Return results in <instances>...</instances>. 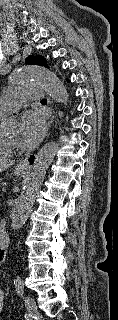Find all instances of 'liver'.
Listing matches in <instances>:
<instances>
[{
  "mask_svg": "<svg viewBox=\"0 0 118 320\" xmlns=\"http://www.w3.org/2000/svg\"><path fill=\"white\" fill-rule=\"evenodd\" d=\"M15 163V160L10 159H1L0 158V173L4 170H6L8 167L13 165Z\"/></svg>",
  "mask_w": 118,
  "mask_h": 320,
  "instance_id": "6515ba94",
  "label": "liver"
}]
</instances>
